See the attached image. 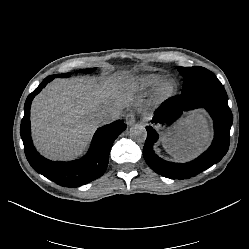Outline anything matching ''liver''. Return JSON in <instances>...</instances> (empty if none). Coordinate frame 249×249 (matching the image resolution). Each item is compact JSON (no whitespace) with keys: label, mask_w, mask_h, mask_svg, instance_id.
<instances>
[{"label":"liver","mask_w":249,"mask_h":249,"mask_svg":"<svg viewBox=\"0 0 249 249\" xmlns=\"http://www.w3.org/2000/svg\"><path fill=\"white\" fill-rule=\"evenodd\" d=\"M125 93L123 98L121 94ZM131 103L130 86L121 78L98 83L93 78L58 79L35 98L33 135L39 150L54 159L82 152L99 126L98 113L117 112ZM119 118V117H118ZM211 139L205 115L196 112L163 134V144L176 160L193 158Z\"/></svg>","instance_id":"6515ba94"}]
</instances>
